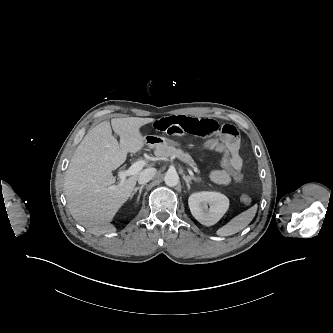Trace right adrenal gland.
<instances>
[{
  "label": "right adrenal gland",
  "instance_id": "2a0ac1e0",
  "mask_svg": "<svg viewBox=\"0 0 333 333\" xmlns=\"http://www.w3.org/2000/svg\"><path fill=\"white\" fill-rule=\"evenodd\" d=\"M144 187H145L144 184L141 185L140 187H136V188L133 190V192H132V194H131V196H130V199H132L133 196L135 195V193H136L137 191H139L138 198H137V202H139V199H140V196H141V193H142V190H143Z\"/></svg>",
  "mask_w": 333,
  "mask_h": 333
}]
</instances>
